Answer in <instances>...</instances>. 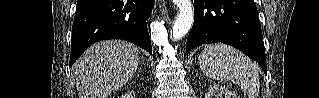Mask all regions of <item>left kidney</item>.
<instances>
[{"mask_svg": "<svg viewBox=\"0 0 319 98\" xmlns=\"http://www.w3.org/2000/svg\"><path fill=\"white\" fill-rule=\"evenodd\" d=\"M239 98L238 94L228 90L225 86L214 84L205 92V98Z\"/></svg>", "mask_w": 319, "mask_h": 98, "instance_id": "1", "label": "left kidney"}]
</instances>
